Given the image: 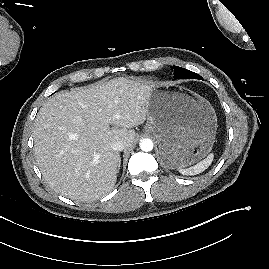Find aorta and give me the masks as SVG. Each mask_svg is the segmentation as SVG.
I'll return each instance as SVG.
<instances>
[{
  "label": "aorta",
  "instance_id": "1",
  "mask_svg": "<svg viewBox=\"0 0 269 269\" xmlns=\"http://www.w3.org/2000/svg\"><path fill=\"white\" fill-rule=\"evenodd\" d=\"M139 145H140V149L145 152H149L153 149V142L151 139H148V138L142 139Z\"/></svg>",
  "mask_w": 269,
  "mask_h": 269
}]
</instances>
